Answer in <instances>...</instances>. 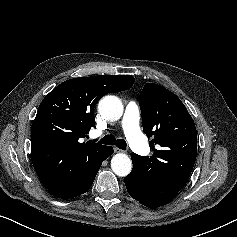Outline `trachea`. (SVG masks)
<instances>
[{
	"mask_svg": "<svg viewBox=\"0 0 237 237\" xmlns=\"http://www.w3.org/2000/svg\"><path fill=\"white\" fill-rule=\"evenodd\" d=\"M99 142L106 145H116L119 149L122 150H125L127 147L126 141L124 139H116L112 135L104 136Z\"/></svg>",
	"mask_w": 237,
	"mask_h": 237,
	"instance_id": "1",
	"label": "trachea"
}]
</instances>
